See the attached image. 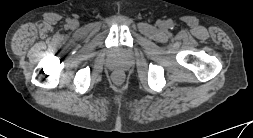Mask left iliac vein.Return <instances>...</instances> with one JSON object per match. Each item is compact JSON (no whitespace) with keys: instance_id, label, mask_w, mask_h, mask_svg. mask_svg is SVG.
Here are the masks:
<instances>
[{"instance_id":"1","label":"left iliac vein","mask_w":253,"mask_h":138,"mask_svg":"<svg viewBox=\"0 0 253 138\" xmlns=\"http://www.w3.org/2000/svg\"><path fill=\"white\" fill-rule=\"evenodd\" d=\"M160 25H161V26H164V25H165V23H164V22H161V23H160Z\"/></svg>"}]
</instances>
